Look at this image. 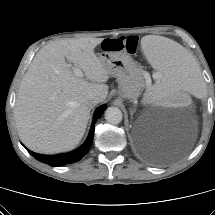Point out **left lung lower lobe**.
I'll list each match as a JSON object with an SVG mask.
<instances>
[{"instance_id": "left-lung-lower-lobe-1", "label": "left lung lower lobe", "mask_w": 215, "mask_h": 215, "mask_svg": "<svg viewBox=\"0 0 215 215\" xmlns=\"http://www.w3.org/2000/svg\"><path fill=\"white\" fill-rule=\"evenodd\" d=\"M138 152L146 157L150 162L158 163L159 161L156 159V153L153 148L147 144H142L138 146Z\"/></svg>"}]
</instances>
